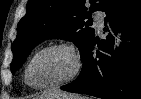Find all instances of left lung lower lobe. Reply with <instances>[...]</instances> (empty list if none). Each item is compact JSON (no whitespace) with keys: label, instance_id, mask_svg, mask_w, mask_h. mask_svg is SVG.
<instances>
[{"label":"left lung lower lobe","instance_id":"obj_1","mask_svg":"<svg viewBox=\"0 0 141 99\" xmlns=\"http://www.w3.org/2000/svg\"><path fill=\"white\" fill-rule=\"evenodd\" d=\"M104 12L106 40L93 38L81 56L79 77L61 89L102 99H141V0H116ZM118 31L123 42L114 51L112 32ZM96 44L100 51L94 55Z\"/></svg>","mask_w":141,"mask_h":99}]
</instances>
